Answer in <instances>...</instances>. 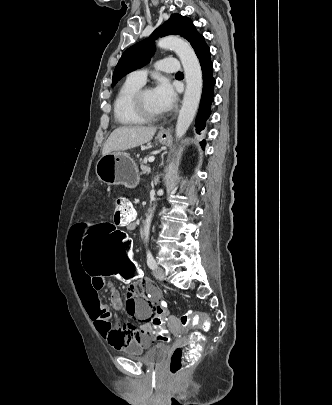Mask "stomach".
Returning <instances> with one entry per match:
<instances>
[{"label":"stomach","mask_w":332,"mask_h":405,"mask_svg":"<svg viewBox=\"0 0 332 405\" xmlns=\"http://www.w3.org/2000/svg\"><path fill=\"white\" fill-rule=\"evenodd\" d=\"M168 135L158 134L156 139L166 144ZM99 180L109 185L133 187L139 182V170L135 161L126 153L113 151L103 155L96 164Z\"/></svg>","instance_id":"1"}]
</instances>
